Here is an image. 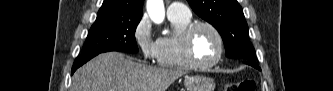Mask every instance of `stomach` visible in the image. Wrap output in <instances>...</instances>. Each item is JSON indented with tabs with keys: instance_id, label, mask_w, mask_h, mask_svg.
Returning <instances> with one entry per match:
<instances>
[{
	"instance_id": "0dacf381",
	"label": "stomach",
	"mask_w": 333,
	"mask_h": 91,
	"mask_svg": "<svg viewBox=\"0 0 333 91\" xmlns=\"http://www.w3.org/2000/svg\"><path fill=\"white\" fill-rule=\"evenodd\" d=\"M184 84L187 91H213L215 88L213 79L201 75L185 77Z\"/></svg>"
}]
</instances>
